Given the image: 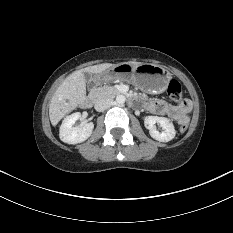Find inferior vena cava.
Returning a JSON list of instances; mask_svg holds the SVG:
<instances>
[{
  "mask_svg": "<svg viewBox=\"0 0 233 233\" xmlns=\"http://www.w3.org/2000/svg\"><path fill=\"white\" fill-rule=\"evenodd\" d=\"M113 104V101L111 99H99L95 103V109L96 111H104L108 109Z\"/></svg>",
  "mask_w": 233,
  "mask_h": 233,
  "instance_id": "inferior-vena-cava-1",
  "label": "inferior vena cava"
}]
</instances>
